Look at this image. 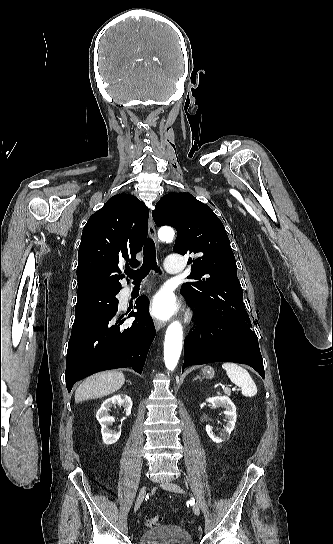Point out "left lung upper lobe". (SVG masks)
Instances as JSON below:
<instances>
[{
  "instance_id": "1",
  "label": "left lung upper lobe",
  "mask_w": 333,
  "mask_h": 544,
  "mask_svg": "<svg viewBox=\"0 0 333 544\" xmlns=\"http://www.w3.org/2000/svg\"><path fill=\"white\" fill-rule=\"evenodd\" d=\"M158 226L177 230L174 252L194 253L188 279L181 294L192 304L216 318L235 321L250 328L251 321L243 303V290L224 225L209 206L189 193H169L152 212Z\"/></svg>"
}]
</instances>
